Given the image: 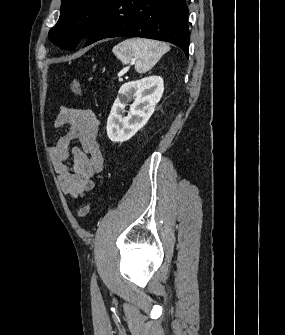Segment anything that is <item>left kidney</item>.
<instances>
[{"mask_svg":"<svg viewBox=\"0 0 285 335\" xmlns=\"http://www.w3.org/2000/svg\"><path fill=\"white\" fill-rule=\"evenodd\" d=\"M164 92V80L149 76L121 86L107 120V136L111 142H127L151 118ZM133 98L128 116H124L127 100Z\"/></svg>","mask_w":285,"mask_h":335,"instance_id":"1","label":"left kidney"}]
</instances>
